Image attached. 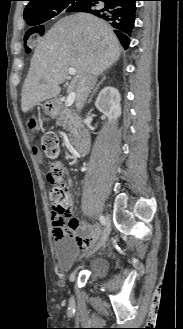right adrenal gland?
<instances>
[{
  "mask_svg": "<svg viewBox=\"0 0 183 329\" xmlns=\"http://www.w3.org/2000/svg\"><path fill=\"white\" fill-rule=\"evenodd\" d=\"M101 76H102V79H101V81H100L99 83H97V84L95 85V87H94V89H93V91H92V93H91V95H90V98H89V100H88V103H91L94 94L97 92V90H98V88H99V85H101L102 82L106 79V77H105L103 74H101Z\"/></svg>",
  "mask_w": 183,
  "mask_h": 329,
  "instance_id": "2a0ac1e0",
  "label": "right adrenal gland"
}]
</instances>
